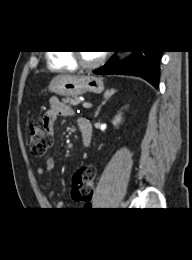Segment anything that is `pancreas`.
<instances>
[{
    "label": "pancreas",
    "mask_w": 192,
    "mask_h": 260,
    "mask_svg": "<svg viewBox=\"0 0 192 260\" xmlns=\"http://www.w3.org/2000/svg\"><path fill=\"white\" fill-rule=\"evenodd\" d=\"M63 102L70 106H76L81 103V101L77 98H66V99H63Z\"/></svg>",
    "instance_id": "obj_1"
}]
</instances>
